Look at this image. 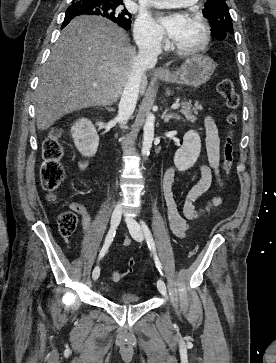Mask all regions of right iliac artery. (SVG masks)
Segmentation results:
<instances>
[{
	"label": "right iliac artery",
	"mask_w": 276,
	"mask_h": 363,
	"mask_svg": "<svg viewBox=\"0 0 276 363\" xmlns=\"http://www.w3.org/2000/svg\"><path fill=\"white\" fill-rule=\"evenodd\" d=\"M115 229H110L107 236H106V239H105V243L103 245V248L101 249L100 251V254H99V258L101 259L102 257H104V255L106 254V252L108 251V248L109 246L111 245L112 241H113V238L115 237ZM100 275V271H99V274H98V277Z\"/></svg>",
	"instance_id": "right-iliac-artery-1"
}]
</instances>
